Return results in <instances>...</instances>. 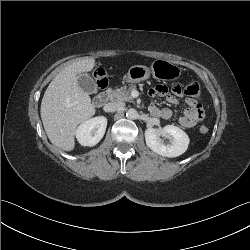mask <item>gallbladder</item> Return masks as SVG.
Here are the masks:
<instances>
[{"instance_id": "gallbladder-1", "label": "gallbladder", "mask_w": 250, "mask_h": 250, "mask_svg": "<svg viewBox=\"0 0 250 250\" xmlns=\"http://www.w3.org/2000/svg\"><path fill=\"white\" fill-rule=\"evenodd\" d=\"M78 85L88 94L95 93L97 91V85L88 74H80L78 77Z\"/></svg>"}]
</instances>
